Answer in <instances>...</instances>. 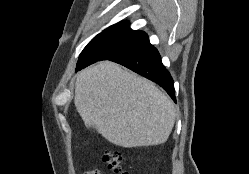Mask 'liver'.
<instances>
[{
  "label": "liver",
  "instance_id": "6515ba94",
  "mask_svg": "<svg viewBox=\"0 0 249 174\" xmlns=\"http://www.w3.org/2000/svg\"><path fill=\"white\" fill-rule=\"evenodd\" d=\"M74 103L87 126L125 148L162 144L175 123L174 105L162 91L111 61L77 74Z\"/></svg>",
  "mask_w": 249,
  "mask_h": 174
}]
</instances>
